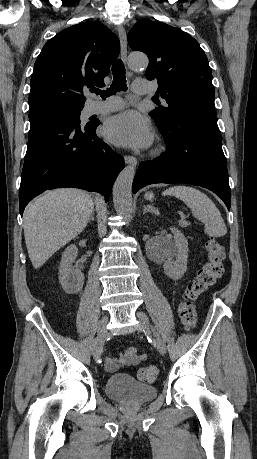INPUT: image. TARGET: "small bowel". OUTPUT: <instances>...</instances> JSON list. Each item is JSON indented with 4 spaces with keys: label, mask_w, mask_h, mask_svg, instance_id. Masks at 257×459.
<instances>
[{
    "label": "small bowel",
    "mask_w": 257,
    "mask_h": 459,
    "mask_svg": "<svg viewBox=\"0 0 257 459\" xmlns=\"http://www.w3.org/2000/svg\"><path fill=\"white\" fill-rule=\"evenodd\" d=\"M147 359L146 354H139L136 347H130L119 353L117 357H105V368L109 372L116 371L123 365H137Z\"/></svg>",
    "instance_id": "c3829d8e"
}]
</instances>
